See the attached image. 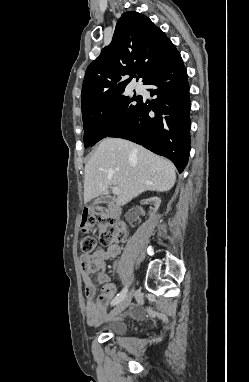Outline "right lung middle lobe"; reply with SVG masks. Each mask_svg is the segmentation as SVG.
Segmentation results:
<instances>
[{
  "mask_svg": "<svg viewBox=\"0 0 249 382\" xmlns=\"http://www.w3.org/2000/svg\"><path fill=\"white\" fill-rule=\"evenodd\" d=\"M141 101L142 96L121 95L113 99L96 100L82 108L85 148L128 123Z\"/></svg>",
  "mask_w": 249,
  "mask_h": 382,
  "instance_id": "dd1d6c3e",
  "label": "right lung middle lobe"
}]
</instances>
